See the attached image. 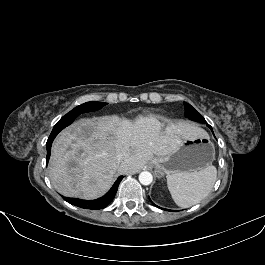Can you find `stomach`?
Here are the masks:
<instances>
[{
  "label": "stomach",
  "mask_w": 265,
  "mask_h": 265,
  "mask_svg": "<svg viewBox=\"0 0 265 265\" xmlns=\"http://www.w3.org/2000/svg\"><path fill=\"white\" fill-rule=\"evenodd\" d=\"M215 149L207 133L182 138L175 149L164 157L151 160L159 176L200 171L212 164Z\"/></svg>",
  "instance_id": "1"
}]
</instances>
